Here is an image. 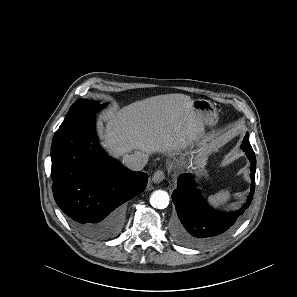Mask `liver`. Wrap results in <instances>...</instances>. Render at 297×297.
Masks as SVG:
<instances>
[{"instance_id":"liver-1","label":"liver","mask_w":297,"mask_h":297,"mask_svg":"<svg viewBox=\"0 0 297 297\" xmlns=\"http://www.w3.org/2000/svg\"><path fill=\"white\" fill-rule=\"evenodd\" d=\"M184 94L146 98L103 116V144L114 157L137 150L147 155L184 150L206 141L204 122Z\"/></svg>"}]
</instances>
